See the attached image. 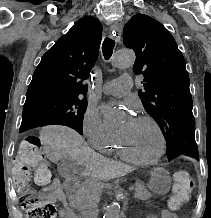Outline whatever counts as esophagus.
<instances>
[{"label":"esophagus","mask_w":211,"mask_h":218,"mask_svg":"<svg viewBox=\"0 0 211 218\" xmlns=\"http://www.w3.org/2000/svg\"><path fill=\"white\" fill-rule=\"evenodd\" d=\"M110 35L119 42L121 39V28L118 24H114L110 26Z\"/></svg>","instance_id":"obj_1"}]
</instances>
